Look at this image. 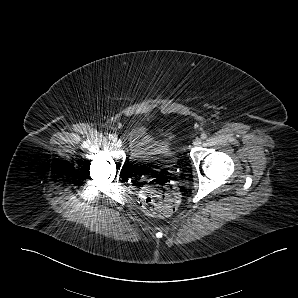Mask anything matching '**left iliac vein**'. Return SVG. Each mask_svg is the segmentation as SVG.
Wrapping results in <instances>:
<instances>
[{"instance_id":"left-iliac-vein-1","label":"left iliac vein","mask_w":298,"mask_h":298,"mask_svg":"<svg viewBox=\"0 0 298 298\" xmlns=\"http://www.w3.org/2000/svg\"><path fill=\"white\" fill-rule=\"evenodd\" d=\"M201 143H202V140H201L200 138H196V139L194 140V142H193V145H194L195 147H198V146L201 145Z\"/></svg>"}]
</instances>
